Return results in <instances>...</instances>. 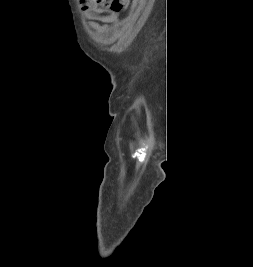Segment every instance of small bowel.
<instances>
[{"label":"small bowel","mask_w":253,"mask_h":267,"mask_svg":"<svg viewBox=\"0 0 253 267\" xmlns=\"http://www.w3.org/2000/svg\"><path fill=\"white\" fill-rule=\"evenodd\" d=\"M114 21H116V18H114ZM89 26L97 32H105L109 29V26L106 23L91 22Z\"/></svg>","instance_id":"obj_1"}]
</instances>
